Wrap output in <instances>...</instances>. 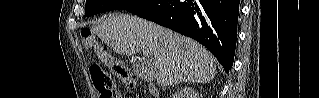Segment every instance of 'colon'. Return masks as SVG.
Listing matches in <instances>:
<instances>
[{
	"label": "colon",
	"mask_w": 319,
	"mask_h": 98,
	"mask_svg": "<svg viewBox=\"0 0 319 98\" xmlns=\"http://www.w3.org/2000/svg\"><path fill=\"white\" fill-rule=\"evenodd\" d=\"M81 37L85 49L95 51L99 58L109 64L112 73L120 78L128 87L133 88L135 86V78L130 74L128 69L121 63L111 59L106 52L99 48L96 38L89 29L82 30ZM91 77L100 98H135V94L132 92L118 95L113 77L106 74L99 67L91 68Z\"/></svg>",
	"instance_id": "colon-1"
}]
</instances>
